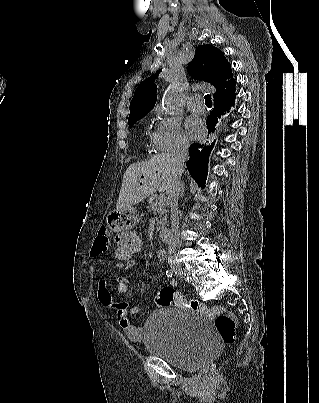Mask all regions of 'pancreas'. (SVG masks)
Here are the masks:
<instances>
[{"instance_id":"pancreas-1","label":"pancreas","mask_w":319,"mask_h":403,"mask_svg":"<svg viewBox=\"0 0 319 403\" xmlns=\"http://www.w3.org/2000/svg\"><path fill=\"white\" fill-rule=\"evenodd\" d=\"M148 209L152 211L153 213L157 214V230H161L165 228L166 223H167V210L165 206L164 201L155 200V201H150L148 205Z\"/></svg>"}]
</instances>
